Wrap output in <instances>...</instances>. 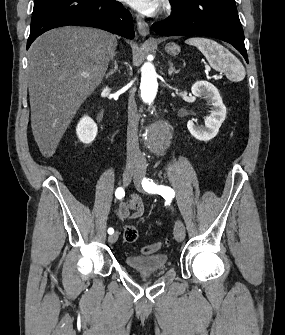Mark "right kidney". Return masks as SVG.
<instances>
[{"instance_id": "ca27d5eb", "label": "right kidney", "mask_w": 285, "mask_h": 335, "mask_svg": "<svg viewBox=\"0 0 285 335\" xmlns=\"http://www.w3.org/2000/svg\"><path fill=\"white\" fill-rule=\"evenodd\" d=\"M97 132V124L89 116H83L76 128V134L83 144H91L95 140Z\"/></svg>"}]
</instances>
